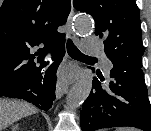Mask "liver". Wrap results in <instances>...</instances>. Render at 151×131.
Returning <instances> with one entry per match:
<instances>
[{
  "label": "liver",
  "instance_id": "liver-1",
  "mask_svg": "<svg viewBox=\"0 0 151 131\" xmlns=\"http://www.w3.org/2000/svg\"><path fill=\"white\" fill-rule=\"evenodd\" d=\"M36 112L35 107L27 102L0 99V131L17 120Z\"/></svg>",
  "mask_w": 151,
  "mask_h": 131
}]
</instances>
